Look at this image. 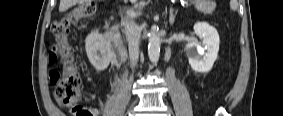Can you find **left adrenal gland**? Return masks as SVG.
Wrapping results in <instances>:
<instances>
[{
    "instance_id": "obj_1",
    "label": "left adrenal gland",
    "mask_w": 283,
    "mask_h": 116,
    "mask_svg": "<svg viewBox=\"0 0 283 116\" xmlns=\"http://www.w3.org/2000/svg\"><path fill=\"white\" fill-rule=\"evenodd\" d=\"M176 15H177V11L174 13L173 8H170V14H169V23H170V25L174 24Z\"/></svg>"
}]
</instances>
